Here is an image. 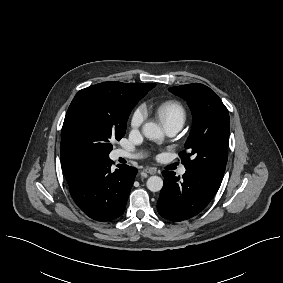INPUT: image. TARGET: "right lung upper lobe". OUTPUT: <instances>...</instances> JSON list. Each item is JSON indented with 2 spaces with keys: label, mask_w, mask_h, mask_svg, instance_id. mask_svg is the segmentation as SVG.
<instances>
[{
  "label": "right lung upper lobe",
  "mask_w": 283,
  "mask_h": 283,
  "mask_svg": "<svg viewBox=\"0 0 283 283\" xmlns=\"http://www.w3.org/2000/svg\"><path fill=\"white\" fill-rule=\"evenodd\" d=\"M104 85H113V84H121L128 89L136 93H145L150 90V84H141V83H121V82H104L101 83ZM60 156H61V166L67 180V183H71L85 165L87 161H89L84 156L80 155L70 146H68L63 139H61L60 144Z\"/></svg>",
  "instance_id": "right-lung-upper-lobe-1"
}]
</instances>
